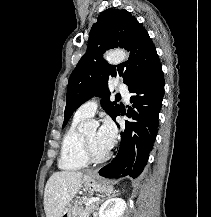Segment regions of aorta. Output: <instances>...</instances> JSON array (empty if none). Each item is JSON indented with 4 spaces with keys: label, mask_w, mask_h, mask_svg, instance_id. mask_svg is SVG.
Returning a JSON list of instances; mask_svg holds the SVG:
<instances>
[{
    "label": "aorta",
    "mask_w": 211,
    "mask_h": 217,
    "mask_svg": "<svg viewBox=\"0 0 211 217\" xmlns=\"http://www.w3.org/2000/svg\"><path fill=\"white\" fill-rule=\"evenodd\" d=\"M104 58L111 64H119L128 58V54L124 50H113L105 53Z\"/></svg>",
    "instance_id": "obj_1"
}]
</instances>
